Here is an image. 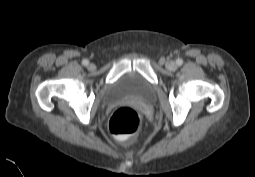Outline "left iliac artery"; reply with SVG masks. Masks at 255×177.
Listing matches in <instances>:
<instances>
[{
  "instance_id": "1",
  "label": "left iliac artery",
  "mask_w": 255,
  "mask_h": 177,
  "mask_svg": "<svg viewBox=\"0 0 255 177\" xmlns=\"http://www.w3.org/2000/svg\"><path fill=\"white\" fill-rule=\"evenodd\" d=\"M176 63H177V65H182L183 64V60L182 59H177V61H176Z\"/></svg>"
}]
</instances>
